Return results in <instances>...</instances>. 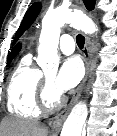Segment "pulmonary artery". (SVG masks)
<instances>
[{
    "label": "pulmonary artery",
    "instance_id": "obj_1",
    "mask_svg": "<svg viewBox=\"0 0 117 136\" xmlns=\"http://www.w3.org/2000/svg\"><path fill=\"white\" fill-rule=\"evenodd\" d=\"M59 49L63 54H72L75 50V42L73 38L68 34L62 35L59 42Z\"/></svg>",
    "mask_w": 117,
    "mask_h": 136
}]
</instances>
